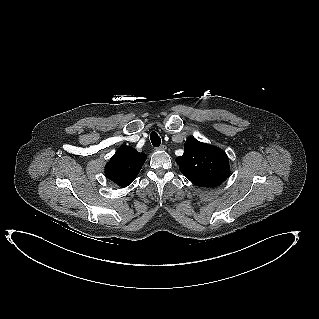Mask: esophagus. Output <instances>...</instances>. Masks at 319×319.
<instances>
[{
	"mask_svg": "<svg viewBox=\"0 0 319 319\" xmlns=\"http://www.w3.org/2000/svg\"><path fill=\"white\" fill-rule=\"evenodd\" d=\"M157 149H159V150H166L167 147H166L165 145H160Z\"/></svg>",
	"mask_w": 319,
	"mask_h": 319,
	"instance_id": "1",
	"label": "esophagus"
}]
</instances>
